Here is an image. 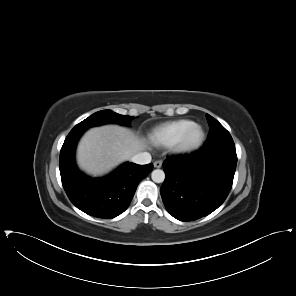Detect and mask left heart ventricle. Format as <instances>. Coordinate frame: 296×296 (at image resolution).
I'll return each instance as SVG.
<instances>
[{"label": "left heart ventricle", "instance_id": "left-heart-ventricle-1", "mask_svg": "<svg viewBox=\"0 0 296 296\" xmlns=\"http://www.w3.org/2000/svg\"><path fill=\"white\" fill-rule=\"evenodd\" d=\"M198 135H199V131L197 129L191 130V132L188 134L186 138V143L191 144L195 142L196 139L198 138Z\"/></svg>", "mask_w": 296, "mask_h": 296}]
</instances>
